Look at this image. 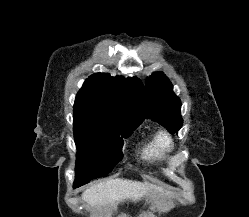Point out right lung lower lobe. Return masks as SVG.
<instances>
[{
	"label": "right lung lower lobe",
	"instance_id": "right-lung-lower-lobe-1",
	"mask_svg": "<svg viewBox=\"0 0 249 217\" xmlns=\"http://www.w3.org/2000/svg\"><path fill=\"white\" fill-rule=\"evenodd\" d=\"M81 185H84L82 182H79V181H77V180H75V182H74V188H77V187H79V186H81Z\"/></svg>",
	"mask_w": 249,
	"mask_h": 217
}]
</instances>
